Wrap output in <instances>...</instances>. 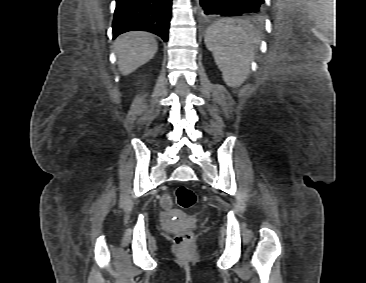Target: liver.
I'll return each mask as SVG.
<instances>
[{"mask_svg":"<svg viewBox=\"0 0 366 283\" xmlns=\"http://www.w3.org/2000/svg\"><path fill=\"white\" fill-rule=\"evenodd\" d=\"M114 47L119 70L125 76L150 61L157 52L158 43L151 33L129 31L117 37Z\"/></svg>","mask_w":366,"mask_h":283,"instance_id":"1","label":"liver"}]
</instances>
